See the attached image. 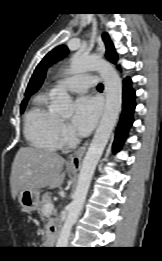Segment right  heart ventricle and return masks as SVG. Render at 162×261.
<instances>
[{
  "mask_svg": "<svg viewBox=\"0 0 162 261\" xmlns=\"http://www.w3.org/2000/svg\"><path fill=\"white\" fill-rule=\"evenodd\" d=\"M59 118L47 106L44 94H38L25 115L24 132L29 143L40 149L55 150L58 148L57 124Z\"/></svg>",
  "mask_w": 162,
  "mask_h": 261,
  "instance_id": "1",
  "label": "right heart ventricle"
}]
</instances>
